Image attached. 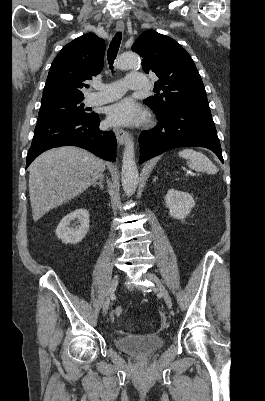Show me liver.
Here are the masks:
<instances>
[{"label":"liver","mask_w":265,"mask_h":401,"mask_svg":"<svg viewBox=\"0 0 265 401\" xmlns=\"http://www.w3.org/2000/svg\"><path fill=\"white\" fill-rule=\"evenodd\" d=\"M106 162L76 146L46 150L29 166V196L33 221L68 203L99 176Z\"/></svg>","instance_id":"6515ba94"}]
</instances>
